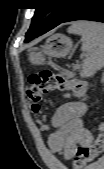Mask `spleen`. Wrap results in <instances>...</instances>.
I'll return each instance as SVG.
<instances>
[{"instance_id": "1", "label": "spleen", "mask_w": 104, "mask_h": 169, "mask_svg": "<svg viewBox=\"0 0 104 169\" xmlns=\"http://www.w3.org/2000/svg\"><path fill=\"white\" fill-rule=\"evenodd\" d=\"M68 33L81 36V50L86 52L80 76L92 77L104 65V26L95 22H75Z\"/></svg>"}]
</instances>
